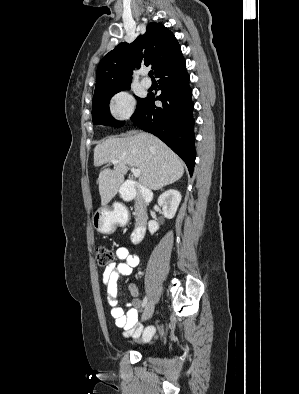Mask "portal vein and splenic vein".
Masks as SVG:
<instances>
[{"instance_id":"portal-vein-and-splenic-vein-1","label":"portal vein and splenic vein","mask_w":299,"mask_h":394,"mask_svg":"<svg viewBox=\"0 0 299 394\" xmlns=\"http://www.w3.org/2000/svg\"><path fill=\"white\" fill-rule=\"evenodd\" d=\"M118 161L116 159H112L111 163L116 164ZM131 172L133 173L134 177H139L141 174L140 169H136L134 167H131Z\"/></svg>"}]
</instances>
